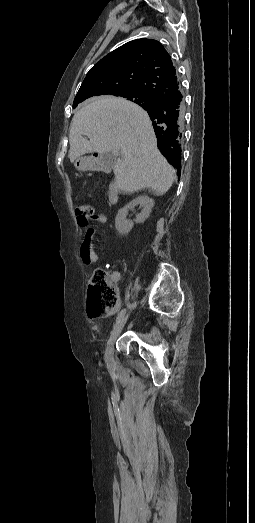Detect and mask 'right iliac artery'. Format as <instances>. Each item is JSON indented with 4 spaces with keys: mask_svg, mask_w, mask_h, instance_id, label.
<instances>
[{
    "mask_svg": "<svg viewBox=\"0 0 255 523\" xmlns=\"http://www.w3.org/2000/svg\"><path fill=\"white\" fill-rule=\"evenodd\" d=\"M124 315H125V309L121 310L120 313L118 314L114 328H116L117 324L122 320Z\"/></svg>",
    "mask_w": 255,
    "mask_h": 523,
    "instance_id": "obj_1",
    "label": "right iliac artery"
}]
</instances>
